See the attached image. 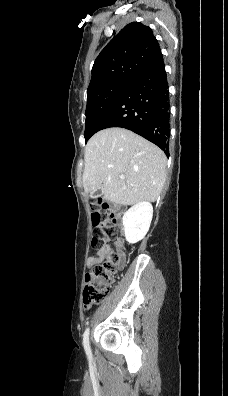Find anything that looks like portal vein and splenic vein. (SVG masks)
Masks as SVG:
<instances>
[{
  "instance_id": "portal-vein-and-splenic-vein-1",
  "label": "portal vein and splenic vein",
  "mask_w": 228,
  "mask_h": 396,
  "mask_svg": "<svg viewBox=\"0 0 228 396\" xmlns=\"http://www.w3.org/2000/svg\"><path fill=\"white\" fill-rule=\"evenodd\" d=\"M120 178H121V179H124V178H125V176H124V175H121V176H120Z\"/></svg>"
}]
</instances>
